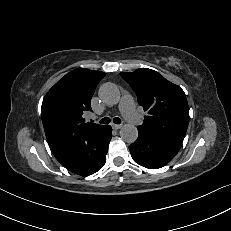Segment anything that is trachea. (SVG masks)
Returning a JSON list of instances; mask_svg holds the SVG:
<instances>
[{"label": "trachea", "mask_w": 231, "mask_h": 231, "mask_svg": "<svg viewBox=\"0 0 231 231\" xmlns=\"http://www.w3.org/2000/svg\"><path fill=\"white\" fill-rule=\"evenodd\" d=\"M110 118L109 117H105V118H103V119H101L99 122L101 123V124H108V123H110ZM113 122L115 123V124H120L121 123V119L120 118H118V117H115L114 119H113Z\"/></svg>", "instance_id": "trachea-1"}]
</instances>
